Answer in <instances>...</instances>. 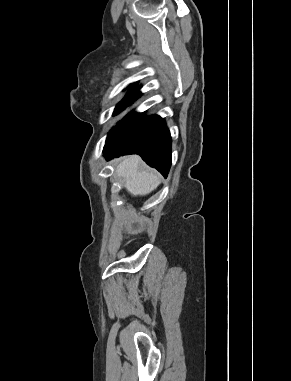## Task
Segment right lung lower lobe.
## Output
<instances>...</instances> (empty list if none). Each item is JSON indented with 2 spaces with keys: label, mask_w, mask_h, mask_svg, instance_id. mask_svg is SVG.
<instances>
[{
  "label": "right lung lower lobe",
  "mask_w": 291,
  "mask_h": 381,
  "mask_svg": "<svg viewBox=\"0 0 291 381\" xmlns=\"http://www.w3.org/2000/svg\"><path fill=\"white\" fill-rule=\"evenodd\" d=\"M141 95L137 90L133 101ZM106 159L139 154L151 167L167 176L171 166V136L165 121L158 115L149 117L132 111L121 124V133L114 142L104 146Z\"/></svg>",
  "instance_id": "obj_1"
}]
</instances>
